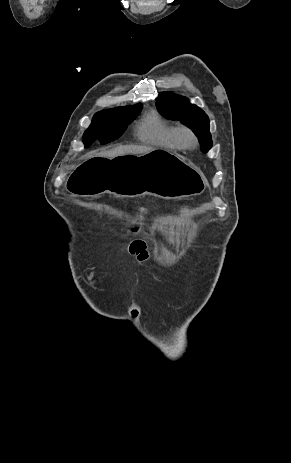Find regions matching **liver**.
Segmentation results:
<instances>
[{
    "instance_id": "6515ba94",
    "label": "liver",
    "mask_w": 291,
    "mask_h": 463,
    "mask_svg": "<svg viewBox=\"0 0 291 463\" xmlns=\"http://www.w3.org/2000/svg\"><path fill=\"white\" fill-rule=\"evenodd\" d=\"M155 150L152 147L149 146H143V145H124V146H118L116 148H113L108 151H102L99 153H90L88 154V157H99V158H107V159H112L118 156H123V155H140L144 153H148Z\"/></svg>"
}]
</instances>
